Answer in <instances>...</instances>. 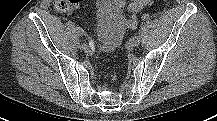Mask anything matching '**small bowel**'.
Here are the masks:
<instances>
[{
    "mask_svg": "<svg viewBox=\"0 0 217 121\" xmlns=\"http://www.w3.org/2000/svg\"><path fill=\"white\" fill-rule=\"evenodd\" d=\"M152 3L153 0H97L99 51L108 52L117 47L126 30L137 28L136 14ZM125 8L128 17L123 14Z\"/></svg>",
    "mask_w": 217,
    "mask_h": 121,
    "instance_id": "1",
    "label": "small bowel"
}]
</instances>
